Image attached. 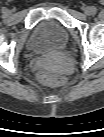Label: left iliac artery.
<instances>
[{
	"label": "left iliac artery",
	"instance_id": "1",
	"mask_svg": "<svg viewBox=\"0 0 104 137\" xmlns=\"http://www.w3.org/2000/svg\"><path fill=\"white\" fill-rule=\"evenodd\" d=\"M91 13L95 14L96 13V8L91 7Z\"/></svg>",
	"mask_w": 104,
	"mask_h": 137
}]
</instances>
